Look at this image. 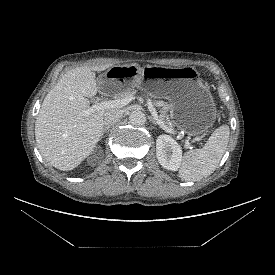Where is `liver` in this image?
<instances>
[{"label":"liver","instance_id":"obj_1","mask_svg":"<svg viewBox=\"0 0 275 275\" xmlns=\"http://www.w3.org/2000/svg\"><path fill=\"white\" fill-rule=\"evenodd\" d=\"M112 64L81 66L67 71L46 95L35 122L37 147L53 167L69 171L77 167L100 140L104 114L99 110L81 115L97 94L95 71Z\"/></svg>","mask_w":275,"mask_h":275}]
</instances>
